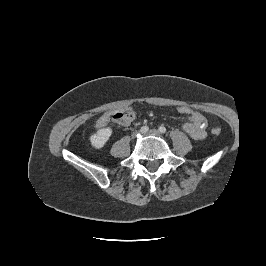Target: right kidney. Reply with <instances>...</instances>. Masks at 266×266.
Masks as SVG:
<instances>
[{
    "instance_id": "right-kidney-1",
    "label": "right kidney",
    "mask_w": 266,
    "mask_h": 266,
    "mask_svg": "<svg viewBox=\"0 0 266 266\" xmlns=\"http://www.w3.org/2000/svg\"><path fill=\"white\" fill-rule=\"evenodd\" d=\"M111 135V128H102L90 136L91 145L96 149H100L106 144Z\"/></svg>"
}]
</instances>
